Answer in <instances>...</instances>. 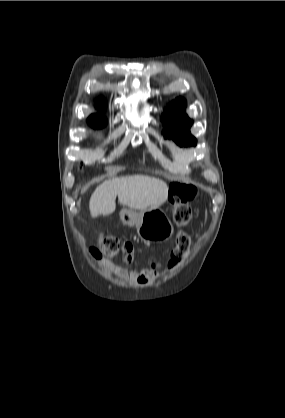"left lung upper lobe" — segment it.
Returning a JSON list of instances; mask_svg holds the SVG:
<instances>
[{
	"mask_svg": "<svg viewBox=\"0 0 285 418\" xmlns=\"http://www.w3.org/2000/svg\"><path fill=\"white\" fill-rule=\"evenodd\" d=\"M185 106V100L177 98L164 111L161 118L163 124L167 125V128L164 130V137L174 139L180 146H195L197 141L189 131L193 121L184 114Z\"/></svg>",
	"mask_w": 285,
	"mask_h": 418,
	"instance_id": "left-lung-upper-lobe-1",
	"label": "left lung upper lobe"
}]
</instances>
